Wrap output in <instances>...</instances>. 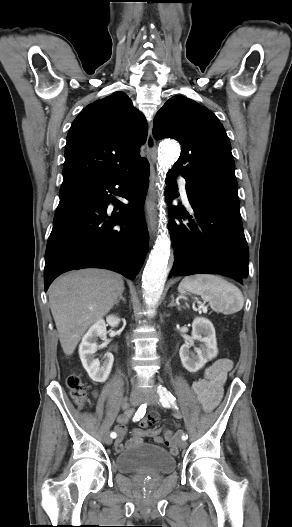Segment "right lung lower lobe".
<instances>
[{
  "instance_id": "obj_1",
  "label": "right lung lower lobe",
  "mask_w": 292,
  "mask_h": 527,
  "mask_svg": "<svg viewBox=\"0 0 292 527\" xmlns=\"http://www.w3.org/2000/svg\"><path fill=\"white\" fill-rule=\"evenodd\" d=\"M149 163L107 181L63 182L44 268L47 291L60 274L81 268H104L134 279L148 248L143 204L148 187ZM129 204L120 212L107 211L117 203L115 186Z\"/></svg>"
}]
</instances>
